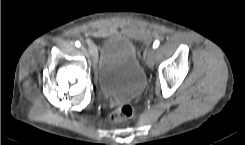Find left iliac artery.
I'll return each mask as SVG.
<instances>
[{
	"mask_svg": "<svg viewBox=\"0 0 245 145\" xmlns=\"http://www.w3.org/2000/svg\"><path fill=\"white\" fill-rule=\"evenodd\" d=\"M160 44V41L159 40H156L154 43H153V48H157Z\"/></svg>",
	"mask_w": 245,
	"mask_h": 145,
	"instance_id": "1",
	"label": "left iliac artery"
}]
</instances>
